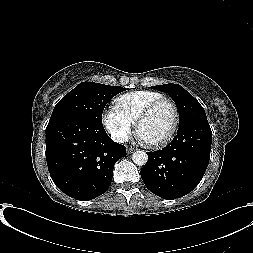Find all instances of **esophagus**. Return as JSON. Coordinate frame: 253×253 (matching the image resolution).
Segmentation results:
<instances>
[{
	"label": "esophagus",
	"instance_id": "1",
	"mask_svg": "<svg viewBox=\"0 0 253 253\" xmlns=\"http://www.w3.org/2000/svg\"><path fill=\"white\" fill-rule=\"evenodd\" d=\"M134 150H135V149H134L133 147H127V152H128V154L133 153Z\"/></svg>",
	"mask_w": 253,
	"mask_h": 253
}]
</instances>
